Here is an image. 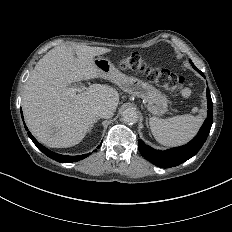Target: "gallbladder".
<instances>
[{
	"instance_id": "1",
	"label": "gallbladder",
	"mask_w": 232,
	"mask_h": 232,
	"mask_svg": "<svg viewBox=\"0 0 232 232\" xmlns=\"http://www.w3.org/2000/svg\"><path fill=\"white\" fill-rule=\"evenodd\" d=\"M80 86H81V83H80L79 81L73 82V83L71 84V87H72L73 89L79 88Z\"/></svg>"
}]
</instances>
